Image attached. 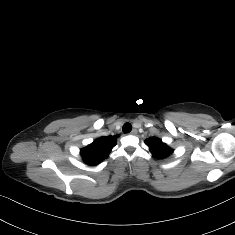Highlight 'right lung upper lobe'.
I'll use <instances>...</instances> for the list:
<instances>
[{
    "mask_svg": "<svg viewBox=\"0 0 235 235\" xmlns=\"http://www.w3.org/2000/svg\"><path fill=\"white\" fill-rule=\"evenodd\" d=\"M116 136H106L95 140L85 148H82L80 154L88 165H97L107 158L112 148L116 145Z\"/></svg>",
    "mask_w": 235,
    "mask_h": 235,
    "instance_id": "obj_1",
    "label": "right lung upper lobe"
}]
</instances>
